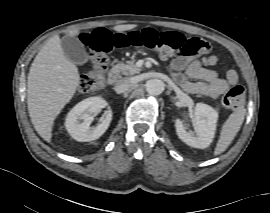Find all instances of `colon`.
Instances as JSON below:
<instances>
[{"label":"colon","instance_id":"5ec220e1","mask_svg":"<svg viewBox=\"0 0 270 213\" xmlns=\"http://www.w3.org/2000/svg\"><path fill=\"white\" fill-rule=\"evenodd\" d=\"M82 43L89 51L91 64L81 74L79 87L84 92H93L104 87L105 75L109 69L108 53L113 48L127 46H145L155 50L161 57H168L176 52L186 56H195L203 52L205 43L199 38H186L173 31H157L147 28L142 31L111 34L106 28H97L82 36ZM229 82L237 80V73L229 70L225 74ZM244 98V88L235 85L222 97L225 109H237Z\"/></svg>","mask_w":270,"mask_h":213}]
</instances>
